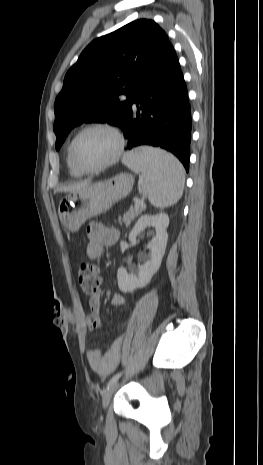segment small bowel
Returning a JSON list of instances; mask_svg holds the SVG:
<instances>
[{
	"label": "small bowel",
	"instance_id": "obj_1",
	"mask_svg": "<svg viewBox=\"0 0 263 465\" xmlns=\"http://www.w3.org/2000/svg\"><path fill=\"white\" fill-rule=\"evenodd\" d=\"M87 256L96 260L103 254L104 247L112 246L116 243L119 233L117 230L107 227L101 223L93 222L87 227ZM125 299L120 294H114L111 298V304L115 307H122ZM100 294L97 293L88 299L90 315L99 317L100 315ZM87 320V319H86ZM122 339H116L107 351L99 348H92L87 352V359L90 367L100 376H106L111 373L117 366L121 354Z\"/></svg>",
	"mask_w": 263,
	"mask_h": 465
}]
</instances>
